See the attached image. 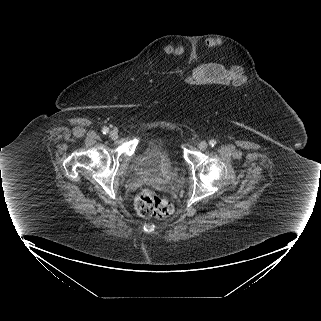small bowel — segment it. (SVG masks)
<instances>
[{"label":"small bowel","instance_id":"small-bowel-1","mask_svg":"<svg viewBox=\"0 0 321 321\" xmlns=\"http://www.w3.org/2000/svg\"><path fill=\"white\" fill-rule=\"evenodd\" d=\"M245 80L246 75L241 69H227L216 63L200 66L184 76V81L188 85L217 84L219 86H230L235 83L242 84Z\"/></svg>","mask_w":321,"mask_h":321}]
</instances>
